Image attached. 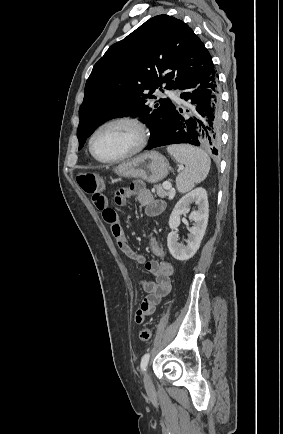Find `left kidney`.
I'll list each match as a JSON object with an SVG mask.
<instances>
[{
    "instance_id": "left-kidney-1",
    "label": "left kidney",
    "mask_w": 283,
    "mask_h": 434,
    "mask_svg": "<svg viewBox=\"0 0 283 434\" xmlns=\"http://www.w3.org/2000/svg\"><path fill=\"white\" fill-rule=\"evenodd\" d=\"M192 203L197 205V210L193 211L189 216V219L194 221V224L189 228L190 235L186 242L187 245L182 246L178 244L179 236L177 228L180 225V217L189 212V206ZM208 216L209 205L207 192L202 187L190 191L177 202L169 218L171 232L167 237L168 249L175 259L184 261L195 255L205 234Z\"/></svg>"
}]
</instances>
